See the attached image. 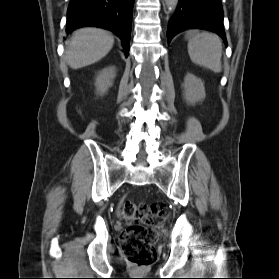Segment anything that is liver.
Segmentation results:
<instances>
[{
    "mask_svg": "<svg viewBox=\"0 0 279 279\" xmlns=\"http://www.w3.org/2000/svg\"><path fill=\"white\" fill-rule=\"evenodd\" d=\"M114 38L98 28H82L74 32L67 43L65 60L72 69L96 63L112 49Z\"/></svg>",
    "mask_w": 279,
    "mask_h": 279,
    "instance_id": "liver-1",
    "label": "liver"
}]
</instances>
